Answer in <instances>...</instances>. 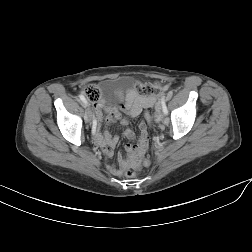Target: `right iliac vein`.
Wrapping results in <instances>:
<instances>
[{
    "instance_id": "1",
    "label": "right iliac vein",
    "mask_w": 252,
    "mask_h": 252,
    "mask_svg": "<svg viewBox=\"0 0 252 252\" xmlns=\"http://www.w3.org/2000/svg\"><path fill=\"white\" fill-rule=\"evenodd\" d=\"M85 120H86L87 123H90V124H91V122L93 120V113H92L90 108H87V110L85 112Z\"/></svg>"
}]
</instances>
